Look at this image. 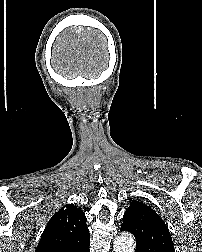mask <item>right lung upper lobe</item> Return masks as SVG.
<instances>
[{
    "instance_id": "cb5924a9",
    "label": "right lung upper lobe",
    "mask_w": 202,
    "mask_h": 252,
    "mask_svg": "<svg viewBox=\"0 0 202 252\" xmlns=\"http://www.w3.org/2000/svg\"><path fill=\"white\" fill-rule=\"evenodd\" d=\"M90 235L80 208L67 204L44 229L35 252H87Z\"/></svg>"
}]
</instances>
